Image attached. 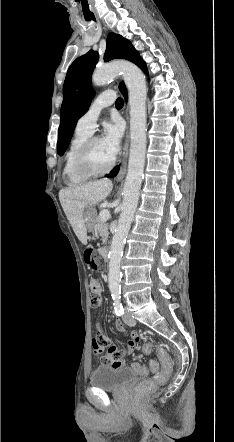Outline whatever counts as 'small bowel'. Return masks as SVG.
I'll return each mask as SVG.
<instances>
[{"instance_id":"obj_1","label":"small bowel","mask_w":234,"mask_h":442,"mask_svg":"<svg viewBox=\"0 0 234 442\" xmlns=\"http://www.w3.org/2000/svg\"><path fill=\"white\" fill-rule=\"evenodd\" d=\"M96 283H97L98 290L102 293L101 284L98 281H96ZM115 327L118 331H121V332L125 331L124 326L120 320H116ZM104 331H105V328H104L103 323H101V322L96 323L93 334L95 336L94 341L97 344H95L93 342V349L96 354H101L103 352V350L107 349V353L101 359L103 362L106 363V364H104V367H106L107 369H110L112 366H114L113 365L114 357L119 352V349H118V346L116 343L110 342L108 336H106L104 334ZM135 340H138V336L133 337L129 341V345L126 350L127 354H130L133 351ZM122 363H123V366L126 365V361L124 359L122 360Z\"/></svg>"}]
</instances>
